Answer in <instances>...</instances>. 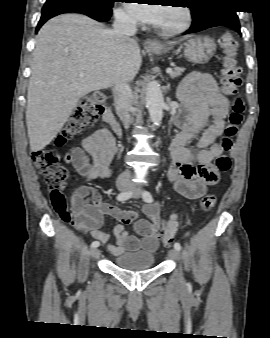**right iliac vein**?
Wrapping results in <instances>:
<instances>
[{"instance_id":"right-iliac-vein-1","label":"right iliac vein","mask_w":270,"mask_h":338,"mask_svg":"<svg viewBox=\"0 0 270 338\" xmlns=\"http://www.w3.org/2000/svg\"><path fill=\"white\" fill-rule=\"evenodd\" d=\"M117 188H118V190L119 191H121V192H126V191H128V190H130V185H128V184H118L117 185ZM99 249H97V248H94V249H92V251H91V257L93 258V259H96L98 256H99Z\"/></svg>"}]
</instances>
